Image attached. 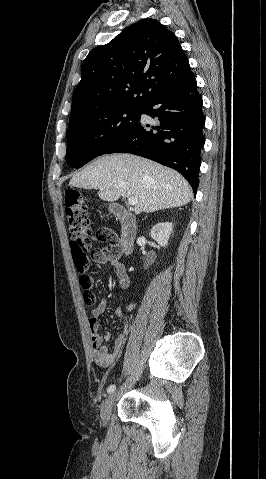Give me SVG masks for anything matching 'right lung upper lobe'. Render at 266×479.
Segmentation results:
<instances>
[{
    "mask_svg": "<svg viewBox=\"0 0 266 479\" xmlns=\"http://www.w3.org/2000/svg\"><path fill=\"white\" fill-rule=\"evenodd\" d=\"M191 73L173 32L158 20L143 19L88 54L69 121L117 108L143 107L157 91Z\"/></svg>",
    "mask_w": 266,
    "mask_h": 479,
    "instance_id": "obj_1",
    "label": "right lung upper lobe"
}]
</instances>
